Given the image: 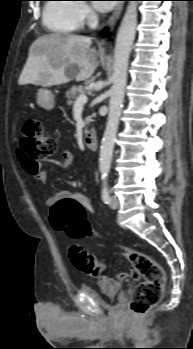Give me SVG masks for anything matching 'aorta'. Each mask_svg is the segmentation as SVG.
<instances>
[{"label": "aorta", "instance_id": "762f6f07", "mask_svg": "<svg viewBox=\"0 0 193 349\" xmlns=\"http://www.w3.org/2000/svg\"><path fill=\"white\" fill-rule=\"evenodd\" d=\"M137 6V1H129L116 38L112 75L113 84L109 91V114L101 142L99 158V170L103 180L107 179L110 171L116 133L124 101L129 56L137 26Z\"/></svg>", "mask_w": 193, "mask_h": 349}]
</instances>
